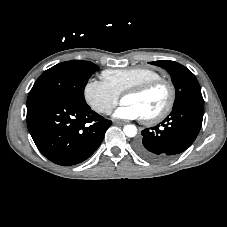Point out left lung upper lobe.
Listing matches in <instances>:
<instances>
[{
	"mask_svg": "<svg viewBox=\"0 0 227 227\" xmlns=\"http://www.w3.org/2000/svg\"><path fill=\"white\" fill-rule=\"evenodd\" d=\"M150 63L164 68L171 75L176 91L173 108L192 101L204 103L201 88L195 75L185 66L170 60Z\"/></svg>",
	"mask_w": 227,
	"mask_h": 227,
	"instance_id": "left-lung-upper-lobe-1",
	"label": "left lung upper lobe"
}]
</instances>
